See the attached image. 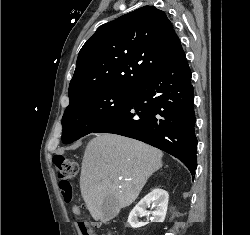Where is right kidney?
<instances>
[{
	"instance_id": "ca27d5eb",
	"label": "right kidney",
	"mask_w": 250,
	"mask_h": 235,
	"mask_svg": "<svg viewBox=\"0 0 250 235\" xmlns=\"http://www.w3.org/2000/svg\"><path fill=\"white\" fill-rule=\"evenodd\" d=\"M169 195L167 191L155 188L149 194H147L143 199H141L138 204L133 208L128 217V223L132 228H139L146 225L145 222H140L139 217L152 215L153 222H163L166 216L168 207ZM155 207V210L150 213L147 212V208Z\"/></svg>"
}]
</instances>
